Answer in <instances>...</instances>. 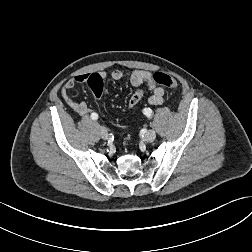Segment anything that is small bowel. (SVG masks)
I'll return each mask as SVG.
<instances>
[{"label": "small bowel", "instance_id": "small-bowel-1", "mask_svg": "<svg viewBox=\"0 0 252 252\" xmlns=\"http://www.w3.org/2000/svg\"><path fill=\"white\" fill-rule=\"evenodd\" d=\"M105 75L103 74L102 77ZM89 77V74H81L78 76H75L74 78L69 79L60 90L61 96L65 103L79 116L84 117L87 115L92 114V110L87 106L84 102H76L74 101L70 96V91L74 88L76 84L84 83L86 82L87 78ZM111 77L114 80L120 81L125 79V74L121 70H114L111 73ZM129 81L130 83L135 86L139 87L143 83L147 84L151 95L148 99V102L151 105H161L164 102V94L165 90L162 86H159L155 83L153 79L152 73L146 70H134L129 75Z\"/></svg>", "mask_w": 252, "mask_h": 252}]
</instances>
